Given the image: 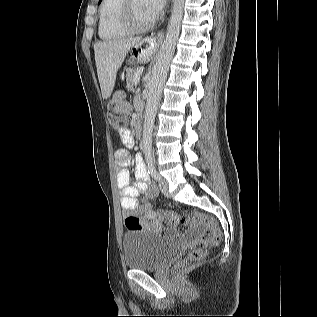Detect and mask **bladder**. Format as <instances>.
<instances>
[{"mask_svg": "<svg viewBox=\"0 0 317 317\" xmlns=\"http://www.w3.org/2000/svg\"><path fill=\"white\" fill-rule=\"evenodd\" d=\"M173 242L147 230H129L123 238L125 265L130 270H154L165 266L175 255Z\"/></svg>", "mask_w": 317, "mask_h": 317, "instance_id": "1", "label": "bladder"}]
</instances>
